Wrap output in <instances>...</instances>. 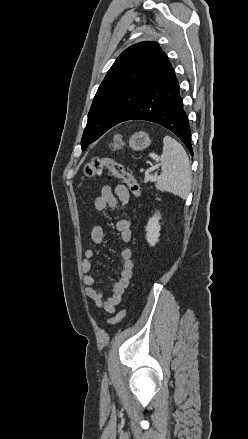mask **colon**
<instances>
[{
  "mask_svg": "<svg viewBox=\"0 0 248 439\" xmlns=\"http://www.w3.org/2000/svg\"><path fill=\"white\" fill-rule=\"evenodd\" d=\"M107 171L110 177L120 180L128 187L130 192L138 197L140 195V185L133 174L128 172L122 164L110 158H93L84 165L83 173L86 177L92 178L100 176ZM126 314V308L121 309L116 315L108 320V326L119 323Z\"/></svg>",
  "mask_w": 248,
  "mask_h": 439,
  "instance_id": "obj_1",
  "label": "colon"
}]
</instances>
